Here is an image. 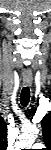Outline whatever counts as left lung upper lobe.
I'll return each instance as SVG.
<instances>
[{"mask_svg":"<svg viewBox=\"0 0 51 150\" xmlns=\"http://www.w3.org/2000/svg\"><path fill=\"white\" fill-rule=\"evenodd\" d=\"M43 128V140L47 147L51 145V113L44 116L41 121Z\"/></svg>","mask_w":51,"mask_h":150,"instance_id":"obj_1","label":"left lung upper lobe"}]
</instances>
